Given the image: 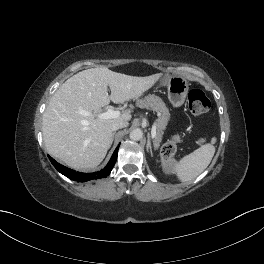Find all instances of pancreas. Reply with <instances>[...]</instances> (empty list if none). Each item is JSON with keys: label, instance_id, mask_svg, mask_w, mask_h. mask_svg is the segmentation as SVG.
Segmentation results:
<instances>
[{"label": "pancreas", "instance_id": "cf45deb5", "mask_svg": "<svg viewBox=\"0 0 264 264\" xmlns=\"http://www.w3.org/2000/svg\"><path fill=\"white\" fill-rule=\"evenodd\" d=\"M136 105L139 108L150 109L159 114V118L155 123L157 132L154 138V145L158 148L162 140L163 130H165L170 119L169 109L166 107V104L162 101V99L156 95H148L144 98L137 99Z\"/></svg>", "mask_w": 264, "mask_h": 264}]
</instances>
